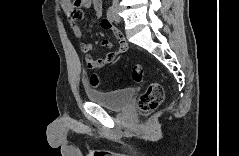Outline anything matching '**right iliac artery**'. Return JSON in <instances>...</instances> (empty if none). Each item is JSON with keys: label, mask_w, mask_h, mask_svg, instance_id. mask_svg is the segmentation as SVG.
<instances>
[{"label": "right iliac artery", "mask_w": 239, "mask_h": 156, "mask_svg": "<svg viewBox=\"0 0 239 156\" xmlns=\"http://www.w3.org/2000/svg\"><path fill=\"white\" fill-rule=\"evenodd\" d=\"M107 18L110 22H114L115 20V8L114 6H110L107 11Z\"/></svg>", "instance_id": "obj_1"}]
</instances>
